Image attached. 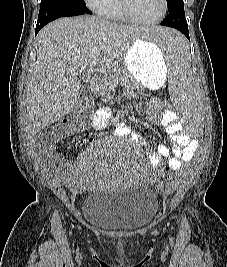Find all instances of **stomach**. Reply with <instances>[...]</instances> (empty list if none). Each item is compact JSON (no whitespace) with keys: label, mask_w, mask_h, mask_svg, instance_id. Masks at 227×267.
<instances>
[{"label":"stomach","mask_w":227,"mask_h":267,"mask_svg":"<svg viewBox=\"0 0 227 267\" xmlns=\"http://www.w3.org/2000/svg\"><path fill=\"white\" fill-rule=\"evenodd\" d=\"M123 65L135 80L150 89L163 86L168 73L165 55H158L156 43H147L141 38L129 47Z\"/></svg>","instance_id":"0dacf381"}]
</instances>
